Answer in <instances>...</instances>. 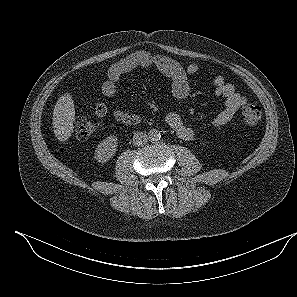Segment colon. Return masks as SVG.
Returning a JSON list of instances; mask_svg holds the SVG:
<instances>
[{"mask_svg": "<svg viewBox=\"0 0 297 297\" xmlns=\"http://www.w3.org/2000/svg\"><path fill=\"white\" fill-rule=\"evenodd\" d=\"M242 122L246 126H256L262 118V110L256 104H247L241 111ZM97 128V124L85 117H78L74 122V131L78 138L91 136Z\"/></svg>", "mask_w": 297, "mask_h": 297, "instance_id": "colon-1", "label": "colon"}]
</instances>
